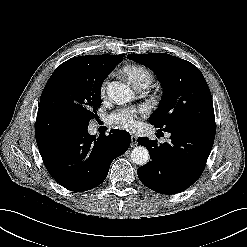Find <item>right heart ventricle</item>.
<instances>
[{
	"label": "right heart ventricle",
	"mask_w": 247,
	"mask_h": 247,
	"mask_svg": "<svg viewBox=\"0 0 247 247\" xmlns=\"http://www.w3.org/2000/svg\"><path fill=\"white\" fill-rule=\"evenodd\" d=\"M130 83L134 86L135 83L141 80L152 81V74L146 68L140 65H129L123 70Z\"/></svg>",
	"instance_id": "right-heart-ventricle-1"
}]
</instances>
